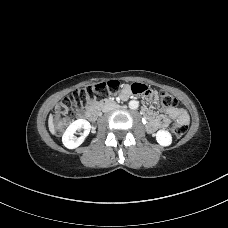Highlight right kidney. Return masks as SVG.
I'll return each instance as SVG.
<instances>
[{"instance_id":"1","label":"right kidney","mask_w":228,"mask_h":228,"mask_svg":"<svg viewBox=\"0 0 228 228\" xmlns=\"http://www.w3.org/2000/svg\"><path fill=\"white\" fill-rule=\"evenodd\" d=\"M84 129V133L81 137L77 138L74 136V133L78 129ZM91 129L90 123L85 119H78L74 122H72L67 129L65 130L63 136H62V142L64 146L68 149H75L78 146H80L83 142L85 137L89 134Z\"/></svg>"}]
</instances>
